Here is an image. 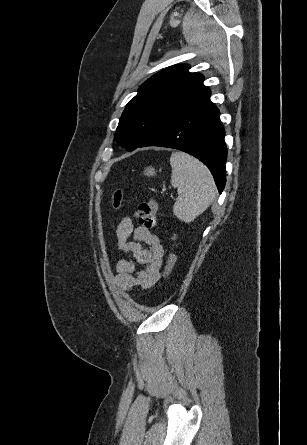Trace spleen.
Masks as SVG:
<instances>
[{
    "mask_svg": "<svg viewBox=\"0 0 307 445\" xmlns=\"http://www.w3.org/2000/svg\"><path fill=\"white\" fill-rule=\"evenodd\" d=\"M170 164L171 184L178 188L173 212L184 223H192L215 198L214 178L203 162L186 152H172Z\"/></svg>",
    "mask_w": 307,
    "mask_h": 445,
    "instance_id": "obj_1",
    "label": "spleen"
}]
</instances>
